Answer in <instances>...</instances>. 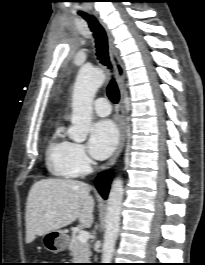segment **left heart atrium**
I'll return each mask as SVG.
<instances>
[{"mask_svg":"<svg viewBox=\"0 0 205 265\" xmlns=\"http://www.w3.org/2000/svg\"><path fill=\"white\" fill-rule=\"evenodd\" d=\"M118 130L110 120L96 122L90 133L89 148L93 157L104 159L115 149L118 143Z\"/></svg>","mask_w":205,"mask_h":265,"instance_id":"1","label":"left heart atrium"}]
</instances>
